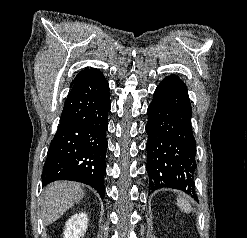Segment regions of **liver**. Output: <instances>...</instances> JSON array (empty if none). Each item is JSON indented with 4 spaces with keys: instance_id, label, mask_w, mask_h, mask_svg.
Returning <instances> with one entry per match:
<instances>
[{
    "instance_id": "1",
    "label": "liver",
    "mask_w": 247,
    "mask_h": 238,
    "mask_svg": "<svg viewBox=\"0 0 247 238\" xmlns=\"http://www.w3.org/2000/svg\"><path fill=\"white\" fill-rule=\"evenodd\" d=\"M83 197L84 191L76 183L58 181L45 187L41 200V217L44 224L49 225L58 220Z\"/></svg>"
}]
</instances>
